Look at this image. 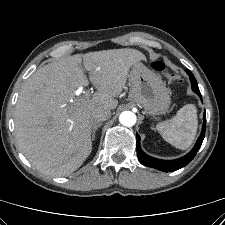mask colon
<instances>
[{
	"label": "colon",
	"instance_id": "1",
	"mask_svg": "<svg viewBox=\"0 0 225 225\" xmlns=\"http://www.w3.org/2000/svg\"><path fill=\"white\" fill-rule=\"evenodd\" d=\"M152 67L159 71V72H165V73H168L166 68H165V65L162 61H154L152 63ZM170 76L176 81V82H180L181 79L178 75H175V74H170Z\"/></svg>",
	"mask_w": 225,
	"mask_h": 225
}]
</instances>
